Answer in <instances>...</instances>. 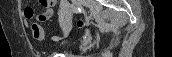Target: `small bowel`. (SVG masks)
I'll return each instance as SVG.
<instances>
[{
    "label": "small bowel",
    "mask_w": 172,
    "mask_h": 57,
    "mask_svg": "<svg viewBox=\"0 0 172 57\" xmlns=\"http://www.w3.org/2000/svg\"><path fill=\"white\" fill-rule=\"evenodd\" d=\"M40 3L45 8V11L43 13L39 14L36 18L40 22H45V21L49 20L50 17L52 16V14H53V8L56 5L57 1H55V0H40ZM27 7H25V9ZM34 16H35V13H34L33 8H32V14H30V15L27 14L26 11L24 10V17L26 19H31ZM41 29H42V27H41ZM42 31H43V29H42ZM42 39H44V32H43L42 37L40 39H38V40H42Z\"/></svg>",
    "instance_id": "c3829d8e"
}]
</instances>
